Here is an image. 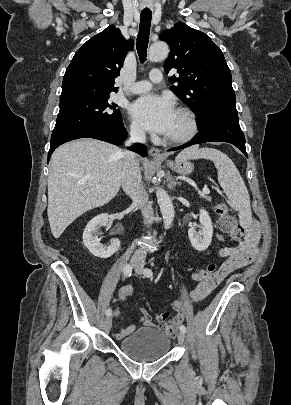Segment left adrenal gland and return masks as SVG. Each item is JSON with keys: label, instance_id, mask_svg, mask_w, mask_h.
Here are the masks:
<instances>
[{"label": "left adrenal gland", "instance_id": "a2214340", "mask_svg": "<svg viewBox=\"0 0 291 405\" xmlns=\"http://www.w3.org/2000/svg\"><path fill=\"white\" fill-rule=\"evenodd\" d=\"M167 181H168V188L171 190H174L177 185H180V182H176L169 172H167Z\"/></svg>", "mask_w": 291, "mask_h": 405}]
</instances>
